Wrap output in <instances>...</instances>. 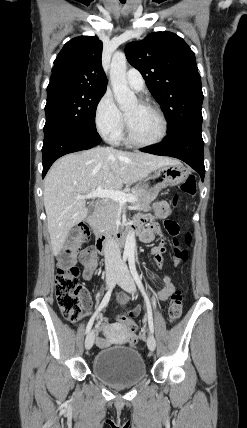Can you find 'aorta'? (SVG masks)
<instances>
[{
    "mask_svg": "<svg viewBox=\"0 0 247 428\" xmlns=\"http://www.w3.org/2000/svg\"><path fill=\"white\" fill-rule=\"evenodd\" d=\"M126 56L115 52L110 65V80L114 96L121 108H127L136 102L135 94L129 89L126 81ZM135 235L130 231L126 236L124 256L133 257L135 252Z\"/></svg>",
    "mask_w": 247,
    "mask_h": 428,
    "instance_id": "aorta-1",
    "label": "aorta"
}]
</instances>
